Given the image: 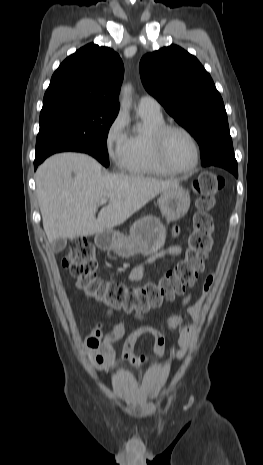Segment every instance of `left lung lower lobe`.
Segmentation results:
<instances>
[{"label":"left lung lower lobe","mask_w":263,"mask_h":465,"mask_svg":"<svg viewBox=\"0 0 263 465\" xmlns=\"http://www.w3.org/2000/svg\"><path fill=\"white\" fill-rule=\"evenodd\" d=\"M203 166L216 165L223 167L234 174L235 177H238V168L236 159L232 160H212L207 159L202 162Z\"/></svg>","instance_id":"left-lung-lower-lobe-1"}]
</instances>
